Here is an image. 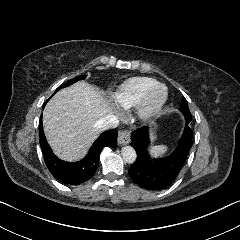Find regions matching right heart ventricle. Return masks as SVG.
I'll return each instance as SVG.
<instances>
[{
  "instance_id": "obj_1",
  "label": "right heart ventricle",
  "mask_w": 240,
  "mask_h": 240,
  "mask_svg": "<svg viewBox=\"0 0 240 240\" xmlns=\"http://www.w3.org/2000/svg\"><path fill=\"white\" fill-rule=\"evenodd\" d=\"M157 82L150 78L137 77L118 85L112 93L114 102L120 110H127L139 104L144 94L153 88Z\"/></svg>"
}]
</instances>
